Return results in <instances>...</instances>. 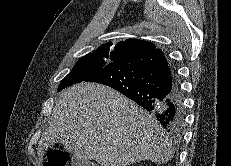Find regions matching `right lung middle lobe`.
Masks as SVG:
<instances>
[{"label": "right lung middle lobe", "mask_w": 231, "mask_h": 166, "mask_svg": "<svg viewBox=\"0 0 231 166\" xmlns=\"http://www.w3.org/2000/svg\"><path fill=\"white\" fill-rule=\"evenodd\" d=\"M117 60V57L107 53L93 52L83 56L73 67L72 71L61 81L58 91L84 81L106 65Z\"/></svg>", "instance_id": "right-lung-middle-lobe-1"}]
</instances>
